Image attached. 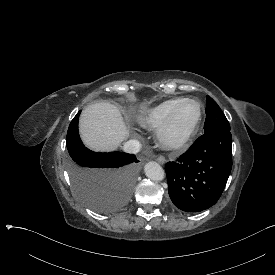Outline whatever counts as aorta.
Returning a JSON list of instances; mask_svg holds the SVG:
<instances>
[{"mask_svg":"<svg viewBox=\"0 0 275 275\" xmlns=\"http://www.w3.org/2000/svg\"><path fill=\"white\" fill-rule=\"evenodd\" d=\"M145 175L151 180H161L164 176L162 167L155 161H149L144 166Z\"/></svg>","mask_w":275,"mask_h":275,"instance_id":"obj_1","label":"aorta"}]
</instances>
